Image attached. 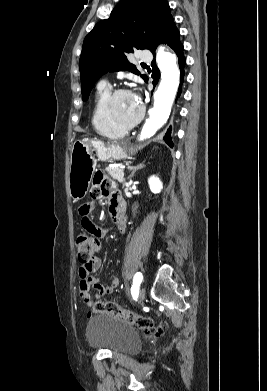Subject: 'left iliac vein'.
I'll use <instances>...</instances> for the list:
<instances>
[{"instance_id":"obj_1","label":"left iliac vein","mask_w":267,"mask_h":391,"mask_svg":"<svg viewBox=\"0 0 267 391\" xmlns=\"http://www.w3.org/2000/svg\"><path fill=\"white\" fill-rule=\"evenodd\" d=\"M145 295H146V290H145V288L142 287V288L140 289V291H139V294H138V300H139V301L144 300Z\"/></svg>"}]
</instances>
